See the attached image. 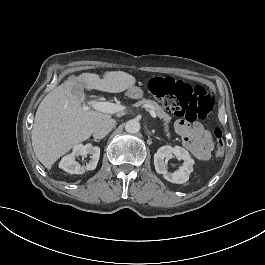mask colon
Segmentation results:
<instances>
[{"label": "colon", "mask_w": 265, "mask_h": 265, "mask_svg": "<svg viewBox=\"0 0 265 265\" xmlns=\"http://www.w3.org/2000/svg\"><path fill=\"white\" fill-rule=\"evenodd\" d=\"M149 92L174 115L187 120H203L207 118L214 103V94L205 87L190 84L172 76H154L148 83ZM216 140L215 157L220 158L225 151L223 132L213 129Z\"/></svg>", "instance_id": "obj_1"}]
</instances>
